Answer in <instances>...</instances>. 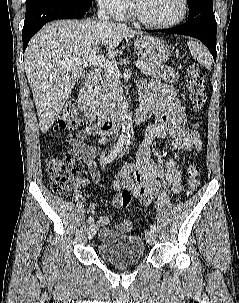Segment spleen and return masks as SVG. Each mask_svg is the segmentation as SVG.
<instances>
[{
    "mask_svg": "<svg viewBox=\"0 0 239 303\" xmlns=\"http://www.w3.org/2000/svg\"><path fill=\"white\" fill-rule=\"evenodd\" d=\"M191 55L197 59L200 65L209 71L212 69L213 61L208 50L195 41L187 42Z\"/></svg>",
    "mask_w": 239,
    "mask_h": 303,
    "instance_id": "obj_1",
    "label": "spleen"
}]
</instances>
